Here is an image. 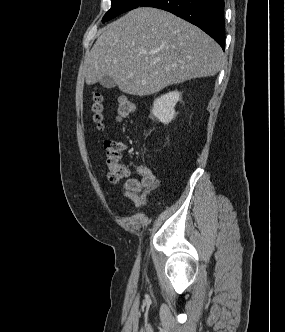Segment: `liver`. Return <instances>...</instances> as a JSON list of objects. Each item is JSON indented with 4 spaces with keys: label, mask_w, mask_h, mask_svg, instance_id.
<instances>
[{
    "label": "liver",
    "mask_w": 285,
    "mask_h": 332,
    "mask_svg": "<svg viewBox=\"0 0 285 332\" xmlns=\"http://www.w3.org/2000/svg\"><path fill=\"white\" fill-rule=\"evenodd\" d=\"M221 47L195 25L164 10L139 7L101 29L84 61L86 84L110 76L123 93L147 96L216 75Z\"/></svg>",
    "instance_id": "obj_1"
}]
</instances>
